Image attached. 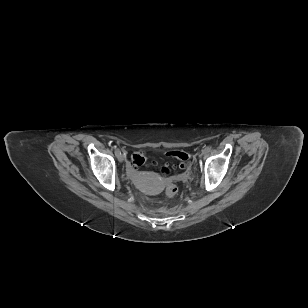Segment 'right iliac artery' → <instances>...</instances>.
Masks as SVG:
<instances>
[{
	"mask_svg": "<svg viewBox=\"0 0 308 308\" xmlns=\"http://www.w3.org/2000/svg\"><path fill=\"white\" fill-rule=\"evenodd\" d=\"M118 152H119V150H118V149H116V150H115V154H117Z\"/></svg>",
	"mask_w": 308,
	"mask_h": 308,
	"instance_id": "82829eb1",
	"label": "right iliac artery"
}]
</instances>
